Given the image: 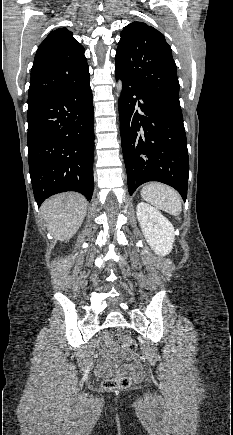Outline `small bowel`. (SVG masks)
Listing matches in <instances>:
<instances>
[{"label": "small bowel", "instance_id": "c3829d8e", "mask_svg": "<svg viewBox=\"0 0 233 435\" xmlns=\"http://www.w3.org/2000/svg\"><path fill=\"white\" fill-rule=\"evenodd\" d=\"M99 351L102 354L97 362L95 370L100 376H106L125 370L132 373H142L143 369L135 354H119L117 349L110 345L106 338L99 343ZM122 363V364H121ZM121 364V365H119Z\"/></svg>", "mask_w": 233, "mask_h": 435}]
</instances>
